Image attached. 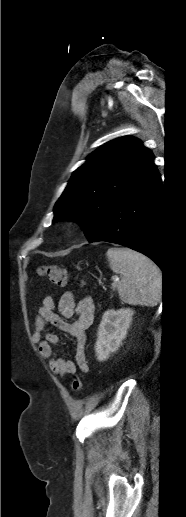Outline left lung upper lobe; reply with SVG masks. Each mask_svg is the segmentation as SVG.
<instances>
[{
	"mask_svg": "<svg viewBox=\"0 0 186 517\" xmlns=\"http://www.w3.org/2000/svg\"><path fill=\"white\" fill-rule=\"evenodd\" d=\"M153 160V154L135 138L109 141L74 171L55 205L53 222L75 220L90 242L106 214Z\"/></svg>",
	"mask_w": 186,
	"mask_h": 517,
	"instance_id": "1",
	"label": "left lung upper lobe"
}]
</instances>
